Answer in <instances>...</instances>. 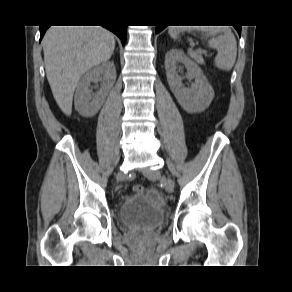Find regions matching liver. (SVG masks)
<instances>
[{"mask_svg":"<svg viewBox=\"0 0 292 292\" xmlns=\"http://www.w3.org/2000/svg\"><path fill=\"white\" fill-rule=\"evenodd\" d=\"M46 76L54 99L68 116L81 76L110 59L114 35L101 26H51L43 38Z\"/></svg>","mask_w":292,"mask_h":292,"instance_id":"6515ba94","label":"liver"}]
</instances>
